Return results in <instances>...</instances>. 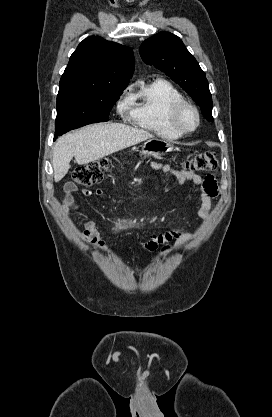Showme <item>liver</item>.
Segmentation results:
<instances>
[{
  "instance_id": "obj_1",
  "label": "liver",
  "mask_w": 272,
  "mask_h": 417,
  "mask_svg": "<svg viewBox=\"0 0 272 417\" xmlns=\"http://www.w3.org/2000/svg\"><path fill=\"white\" fill-rule=\"evenodd\" d=\"M152 138L145 130L119 123H98L67 133L53 147L54 180L59 182L67 174L73 157L83 165Z\"/></svg>"
}]
</instances>
